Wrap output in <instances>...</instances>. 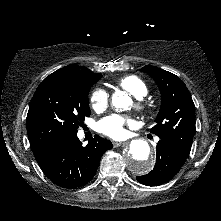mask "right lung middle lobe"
<instances>
[{
  "mask_svg": "<svg viewBox=\"0 0 221 221\" xmlns=\"http://www.w3.org/2000/svg\"><path fill=\"white\" fill-rule=\"evenodd\" d=\"M101 77L99 73L47 76L36 89L27 114L31 147L56 136L77 132L85 117L90 116V88Z\"/></svg>",
  "mask_w": 221,
  "mask_h": 221,
  "instance_id": "obj_1",
  "label": "right lung middle lobe"
}]
</instances>
